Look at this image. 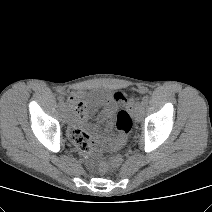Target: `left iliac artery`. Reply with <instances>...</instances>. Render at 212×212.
Instances as JSON below:
<instances>
[{"instance_id":"obj_1","label":"left iliac artery","mask_w":212,"mask_h":212,"mask_svg":"<svg viewBox=\"0 0 212 212\" xmlns=\"http://www.w3.org/2000/svg\"><path fill=\"white\" fill-rule=\"evenodd\" d=\"M148 99H149L148 95H144V96H143V98H142V103H143V105H147Z\"/></svg>"}]
</instances>
